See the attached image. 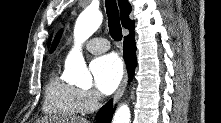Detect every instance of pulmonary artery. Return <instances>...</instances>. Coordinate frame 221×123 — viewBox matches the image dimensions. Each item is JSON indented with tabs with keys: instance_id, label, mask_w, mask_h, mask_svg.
Instances as JSON below:
<instances>
[{
	"instance_id": "1",
	"label": "pulmonary artery",
	"mask_w": 221,
	"mask_h": 123,
	"mask_svg": "<svg viewBox=\"0 0 221 123\" xmlns=\"http://www.w3.org/2000/svg\"><path fill=\"white\" fill-rule=\"evenodd\" d=\"M85 47L91 53L100 54L107 51L110 45L104 38H92L86 43Z\"/></svg>"
}]
</instances>
